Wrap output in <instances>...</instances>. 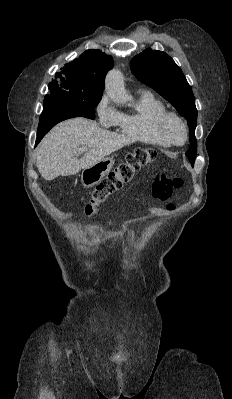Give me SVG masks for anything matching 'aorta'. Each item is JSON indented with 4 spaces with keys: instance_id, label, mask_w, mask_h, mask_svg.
I'll list each match as a JSON object with an SVG mask.
<instances>
[{
    "instance_id": "762f6f07",
    "label": "aorta",
    "mask_w": 232,
    "mask_h": 399,
    "mask_svg": "<svg viewBox=\"0 0 232 399\" xmlns=\"http://www.w3.org/2000/svg\"><path fill=\"white\" fill-rule=\"evenodd\" d=\"M105 89L110 99L117 104H124L130 100L125 90L123 78L119 71H110L105 80Z\"/></svg>"
}]
</instances>
